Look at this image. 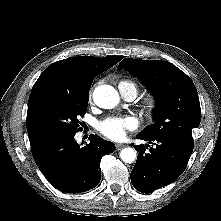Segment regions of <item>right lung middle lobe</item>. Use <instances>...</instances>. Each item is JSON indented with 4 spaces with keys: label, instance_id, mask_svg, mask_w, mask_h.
<instances>
[{
    "label": "right lung middle lobe",
    "instance_id": "right-lung-middle-lobe-1",
    "mask_svg": "<svg viewBox=\"0 0 221 221\" xmlns=\"http://www.w3.org/2000/svg\"><path fill=\"white\" fill-rule=\"evenodd\" d=\"M88 94L89 91L68 93L43 89L32 95L27 112V129L31 139L38 143L76 134L78 118L87 110Z\"/></svg>",
    "mask_w": 221,
    "mask_h": 221
}]
</instances>
